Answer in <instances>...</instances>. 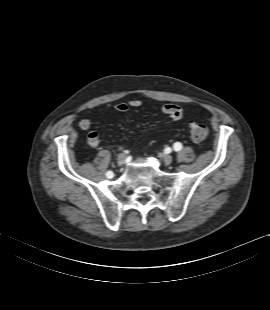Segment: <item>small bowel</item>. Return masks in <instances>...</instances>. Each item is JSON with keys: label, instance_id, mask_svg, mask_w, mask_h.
Masks as SVG:
<instances>
[{"label": "small bowel", "instance_id": "c3829d8e", "mask_svg": "<svg viewBox=\"0 0 270 310\" xmlns=\"http://www.w3.org/2000/svg\"><path fill=\"white\" fill-rule=\"evenodd\" d=\"M142 102L139 99H132L129 102H122L115 105V109L119 112H127L130 108L141 107ZM162 112L173 120H179L184 115L181 107L175 104H166L162 107ZM82 130H88L91 127V120L87 117L82 118L79 123ZM88 143L91 147L95 148L100 143V134L97 131H92L88 135Z\"/></svg>", "mask_w": 270, "mask_h": 310}]
</instances>
